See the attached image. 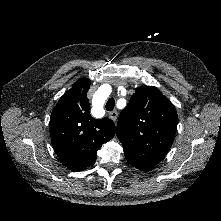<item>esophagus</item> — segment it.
Listing matches in <instances>:
<instances>
[{
    "mask_svg": "<svg viewBox=\"0 0 221 221\" xmlns=\"http://www.w3.org/2000/svg\"><path fill=\"white\" fill-rule=\"evenodd\" d=\"M109 117L113 120V121H116L117 120V118H118V112L117 111H111L110 113H109Z\"/></svg>",
    "mask_w": 221,
    "mask_h": 221,
    "instance_id": "34e87169",
    "label": "esophagus"
}]
</instances>
